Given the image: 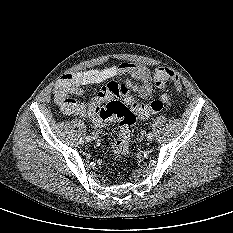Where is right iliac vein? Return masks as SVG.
I'll list each match as a JSON object with an SVG mask.
<instances>
[{"instance_id": "obj_1", "label": "right iliac vein", "mask_w": 233, "mask_h": 233, "mask_svg": "<svg viewBox=\"0 0 233 233\" xmlns=\"http://www.w3.org/2000/svg\"><path fill=\"white\" fill-rule=\"evenodd\" d=\"M92 138H93L94 140L97 139V138H98V134L94 132V133L92 134Z\"/></svg>"}]
</instances>
